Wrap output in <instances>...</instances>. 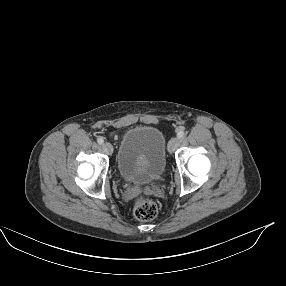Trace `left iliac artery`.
Listing matches in <instances>:
<instances>
[{
  "label": "left iliac artery",
  "instance_id": "left-iliac-artery-1",
  "mask_svg": "<svg viewBox=\"0 0 286 286\" xmlns=\"http://www.w3.org/2000/svg\"><path fill=\"white\" fill-rule=\"evenodd\" d=\"M177 136H178V138H180V139L184 138V136H185L184 130H180V131L178 132Z\"/></svg>",
  "mask_w": 286,
  "mask_h": 286
}]
</instances>
